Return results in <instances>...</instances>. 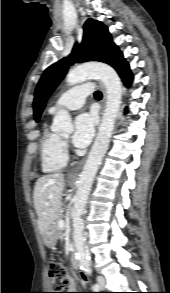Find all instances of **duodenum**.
Returning <instances> with one entry per match:
<instances>
[{
  "mask_svg": "<svg viewBox=\"0 0 170 293\" xmlns=\"http://www.w3.org/2000/svg\"><path fill=\"white\" fill-rule=\"evenodd\" d=\"M71 263L74 269H79V263L75 256H72Z\"/></svg>",
  "mask_w": 170,
  "mask_h": 293,
  "instance_id": "duodenum-1",
  "label": "duodenum"
}]
</instances>
